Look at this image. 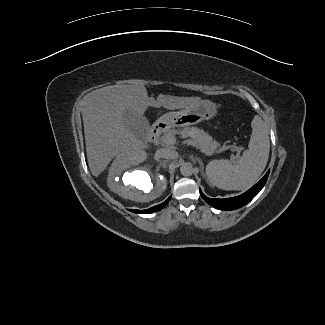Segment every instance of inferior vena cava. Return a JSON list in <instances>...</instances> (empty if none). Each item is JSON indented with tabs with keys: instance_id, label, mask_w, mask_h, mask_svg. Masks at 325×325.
Instances as JSON below:
<instances>
[{
	"instance_id": "602c4592",
	"label": "inferior vena cava",
	"mask_w": 325,
	"mask_h": 325,
	"mask_svg": "<svg viewBox=\"0 0 325 325\" xmlns=\"http://www.w3.org/2000/svg\"><path fill=\"white\" fill-rule=\"evenodd\" d=\"M155 155L158 158H165V159H175L178 157V153L176 151L165 149V148L158 149Z\"/></svg>"
}]
</instances>
